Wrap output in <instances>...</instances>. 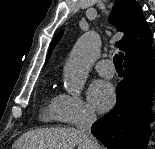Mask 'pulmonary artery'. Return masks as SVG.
<instances>
[{
	"label": "pulmonary artery",
	"mask_w": 155,
	"mask_h": 149,
	"mask_svg": "<svg viewBox=\"0 0 155 149\" xmlns=\"http://www.w3.org/2000/svg\"><path fill=\"white\" fill-rule=\"evenodd\" d=\"M96 71L104 77L112 78L114 76L113 63L110 60H101L95 65Z\"/></svg>",
	"instance_id": "1"
}]
</instances>
